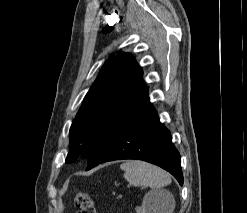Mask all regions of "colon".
I'll return each mask as SVG.
<instances>
[{"label": "colon", "mask_w": 247, "mask_h": 213, "mask_svg": "<svg viewBox=\"0 0 247 213\" xmlns=\"http://www.w3.org/2000/svg\"><path fill=\"white\" fill-rule=\"evenodd\" d=\"M78 213H97L92 198L84 192L76 194L74 199Z\"/></svg>", "instance_id": "5ec220e1"}]
</instances>
